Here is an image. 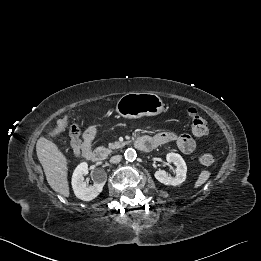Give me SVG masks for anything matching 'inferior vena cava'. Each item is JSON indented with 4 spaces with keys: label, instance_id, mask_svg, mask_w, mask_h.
Masks as SVG:
<instances>
[{
    "label": "inferior vena cava",
    "instance_id": "inferior-vena-cava-1",
    "mask_svg": "<svg viewBox=\"0 0 261 261\" xmlns=\"http://www.w3.org/2000/svg\"><path fill=\"white\" fill-rule=\"evenodd\" d=\"M122 159L121 155H115L110 158L111 163H119Z\"/></svg>",
    "mask_w": 261,
    "mask_h": 261
}]
</instances>
